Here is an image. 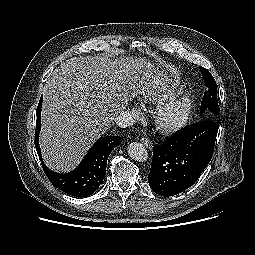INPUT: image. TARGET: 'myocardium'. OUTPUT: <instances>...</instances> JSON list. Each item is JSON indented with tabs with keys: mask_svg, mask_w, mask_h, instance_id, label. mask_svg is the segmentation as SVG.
<instances>
[{
	"mask_svg": "<svg viewBox=\"0 0 255 255\" xmlns=\"http://www.w3.org/2000/svg\"><path fill=\"white\" fill-rule=\"evenodd\" d=\"M193 113V101L190 96L170 100L158 107L155 124L163 133H173L184 127Z\"/></svg>",
	"mask_w": 255,
	"mask_h": 255,
	"instance_id": "obj_1",
	"label": "myocardium"
}]
</instances>
